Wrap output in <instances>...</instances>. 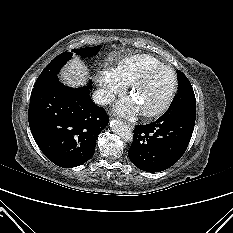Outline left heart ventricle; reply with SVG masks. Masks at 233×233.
<instances>
[{
	"instance_id": "left-heart-ventricle-1",
	"label": "left heart ventricle",
	"mask_w": 233,
	"mask_h": 233,
	"mask_svg": "<svg viewBox=\"0 0 233 233\" xmlns=\"http://www.w3.org/2000/svg\"><path fill=\"white\" fill-rule=\"evenodd\" d=\"M171 84L169 72L157 71L135 90L132 98L139 110L153 109L165 99Z\"/></svg>"
}]
</instances>
